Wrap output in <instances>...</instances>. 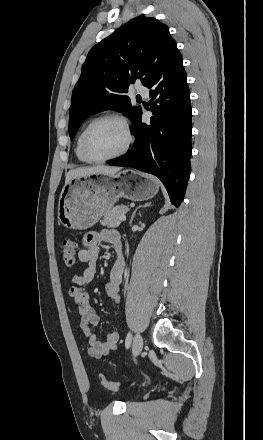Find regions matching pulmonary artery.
<instances>
[{"instance_id": "obj_1", "label": "pulmonary artery", "mask_w": 263, "mask_h": 440, "mask_svg": "<svg viewBox=\"0 0 263 440\" xmlns=\"http://www.w3.org/2000/svg\"><path fill=\"white\" fill-rule=\"evenodd\" d=\"M137 91L140 95H142L144 97H148V95H149V90L146 87H139Z\"/></svg>"}]
</instances>
